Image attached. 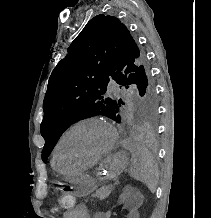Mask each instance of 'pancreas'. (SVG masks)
I'll use <instances>...</instances> for the list:
<instances>
[{"mask_svg":"<svg viewBox=\"0 0 211 218\" xmlns=\"http://www.w3.org/2000/svg\"><path fill=\"white\" fill-rule=\"evenodd\" d=\"M112 186H102L99 190H96L93 194V198H99V200H105L111 194Z\"/></svg>","mask_w":211,"mask_h":218,"instance_id":"obj_1","label":"pancreas"}]
</instances>
